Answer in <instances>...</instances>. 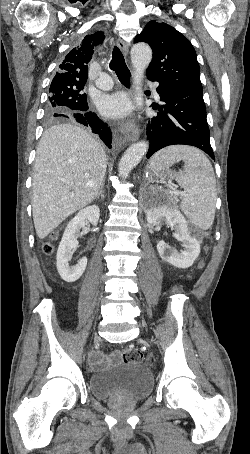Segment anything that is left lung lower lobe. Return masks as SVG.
I'll return each mask as SVG.
<instances>
[{"mask_svg":"<svg viewBox=\"0 0 250 454\" xmlns=\"http://www.w3.org/2000/svg\"><path fill=\"white\" fill-rule=\"evenodd\" d=\"M157 92L162 105L153 106L160 112L147 128L150 147L146 157L166 146L184 144L200 148L214 160L203 91L159 85Z\"/></svg>","mask_w":250,"mask_h":454,"instance_id":"1","label":"left lung lower lobe"}]
</instances>
